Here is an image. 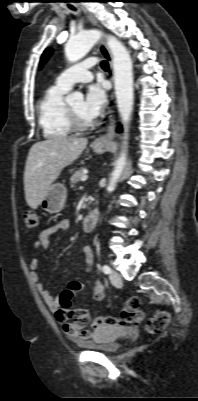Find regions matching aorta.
I'll list each match as a JSON object with an SVG mask.
<instances>
[{
  "label": "aorta",
  "instance_id": "obj_1",
  "mask_svg": "<svg viewBox=\"0 0 198 401\" xmlns=\"http://www.w3.org/2000/svg\"><path fill=\"white\" fill-rule=\"evenodd\" d=\"M101 36L102 33L98 30H88L70 38L65 45V55L68 61L76 62L83 58ZM106 39L113 57L115 95L118 111L124 125V139H127V127L134 101L132 60L128 50L121 41L112 35H107ZM80 99H83V94L80 92H73L66 97V102L71 104ZM124 144L126 145L127 142L125 141ZM125 160L126 154L124 150L116 163L115 169L111 173L107 187L108 191H113L115 189L125 166Z\"/></svg>",
  "mask_w": 198,
  "mask_h": 401
}]
</instances>
